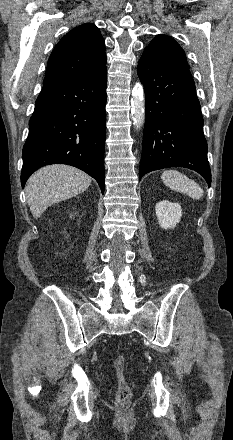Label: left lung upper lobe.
Listing matches in <instances>:
<instances>
[{"mask_svg": "<svg viewBox=\"0 0 233 440\" xmlns=\"http://www.w3.org/2000/svg\"><path fill=\"white\" fill-rule=\"evenodd\" d=\"M143 54L189 69L184 50L173 38L166 35H157Z\"/></svg>", "mask_w": 233, "mask_h": 440, "instance_id": "5c2ea615", "label": "left lung upper lobe"}]
</instances>
